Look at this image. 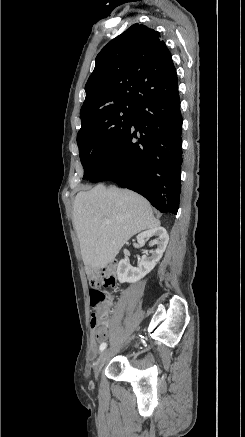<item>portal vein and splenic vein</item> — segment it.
Instances as JSON below:
<instances>
[{
    "instance_id": "1",
    "label": "portal vein and splenic vein",
    "mask_w": 245,
    "mask_h": 437,
    "mask_svg": "<svg viewBox=\"0 0 245 437\" xmlns=\"http://www.w3.org/2000/svg\"><path fill=\"white\" fill-rule=\"evenodd\" d=\"M105 223H110V220H106Z\"/></svg>"
}]
</instances>
